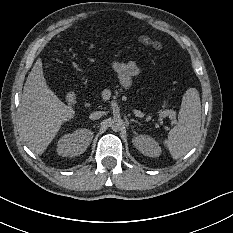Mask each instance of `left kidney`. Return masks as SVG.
I'll return each instance as SVG.
<instances>
[{
    "label": "left kidney",
    "mask_w": 233,
    "mask_h": 233,
    "mask_svg": "<svg viewBox=\"0 0 233 233\" xmlns=\"http://www.w3.org/2000/svg\"><path fill=\"white\" fill-rule=\"evenodd\" d=\"M133 145L143 155L148 157H159L162 150L158 142L149 135H138L132 139Z\"/></svg>",
    "instance_id": "left-kidney-1"
}]
</instances>
